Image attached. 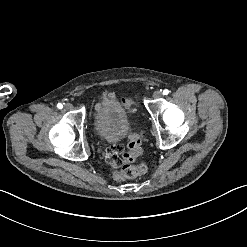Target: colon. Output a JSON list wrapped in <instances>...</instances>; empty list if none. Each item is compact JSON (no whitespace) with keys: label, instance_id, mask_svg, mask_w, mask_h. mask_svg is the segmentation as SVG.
I'll return each mask as SVG.
<instances>
[{"label":"colon","instance_id":"1","mask_svg":"<svg viewBox=\"0 0 247 247\" xmlns=\"http://www.w3.org/2000/svg\"><path fill=\"white\" fill-rule=\"evenodd\" d=\"M122 103L129 108V103L126 98H123ZM128 149L131 150L133 153H125L123 155V160L125 164H132L134 159L136 161L137 156L141 153V139L137 133H130L129 134V144ZM147 167L148 162H139L138 166L132 165V169L128 173H124L121 170L116 171L113 173L112 178L114 181L119 182L122 179L125 181H130L132 179H139L143 178L147 174Z\"/></svg>","mask_w":247,"mask_h":247}]
</instances>
